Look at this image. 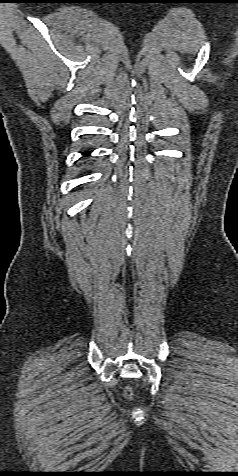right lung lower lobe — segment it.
Masks as SVG:
<instances>
[{"instance_id":"98d812e1","label":"right lung lower lobe","mask_w":238,"mask_h":476,"mask_svg":"<svg viewBox=\"0 0 238 476\" xmlns=\"http://www.w3.org/2000/svg\"><path fill=\"white\" fill-rule=\"evenodd\" d=\"M84 154H85V155H89L90 153H88V152H85Z\"/></svg>"}]
</instances>
